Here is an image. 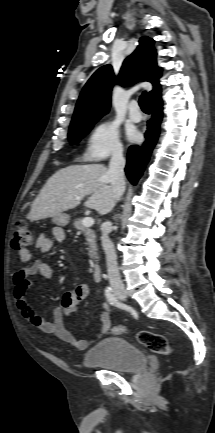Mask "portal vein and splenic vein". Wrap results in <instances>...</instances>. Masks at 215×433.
<instances>
[{"mask_svg":"<svg viewBox=\"0 0 215 433\" xmlns=\"http://www.w3.org/2000/svg\"><path fill=\"white\" fill-rule=\"evenodd\" d=\"M82 223H83L84 226L90 227V226H92L94 224V219L91 218V217H86V218H84L82 220Z\"/></svg>","mask_w":215,"mask_h":433,"instance_id":"portal-vein-and-splenic-vein-1","label":"portal vein and splenic vein"}]
</instances>
